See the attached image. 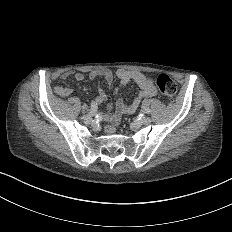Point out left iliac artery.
I'll list each match as a JSON object with an SVG mask.
<instances>
[{
	"instance_id": "44dca946",
	"label": "left iliac artery",
	"mask_w": 232,
	"mask_h": 232,
	"mask_svg": "<svg viewBox=\"0 0 232 232\" xmlns=\"http://www.w3.org/2000/svg\"><path fill=\"white\" fill-rule=\"evenodd\" d=\"M144 119H145V116L142 113L138 114L137 117H136V120L139 121V122L143 121Z\"/></svg>"
}]
</instances>
